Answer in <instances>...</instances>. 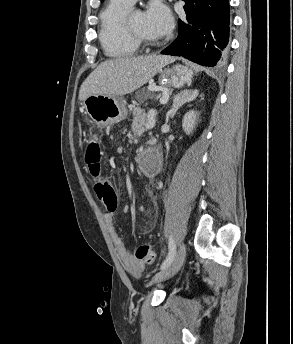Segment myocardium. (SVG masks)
Listing matches in <instances>:
<instances>
[{
    "label": "myocardium",
    "instance_id": "1",
    "mask_svg": "<svg viewBox=\"0 0 293 344\" xmlns=\"http://www.w3.org/2000/svg\"><path fill=\"white\" fill-rule=\"evenodd\" d=\"M131 14L127 15L124 19V31L128 38H130L133 42H135L138 46H153L156 45L155 41H151L137 33H135L131 27L129 26V17Z\"/></svg>",
    "mask_w": 293,
    "mask_h": 344
}]
</instances>
